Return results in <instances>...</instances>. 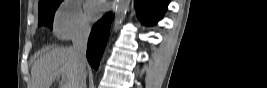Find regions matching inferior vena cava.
Segmentation results:
<instances>
[{
	"label": "inferior vena cava",
	"mask_w": 267,
	"mask_h": 88,
	"mask_svg": "<svg viewBox=\"0 0 267 88\" xmlns=\"http://www.w3.org/2000/svg\"><path fill=\"white\" fill-rule=\"evenodd\" d=\"M90 30L89 24H84L73 37L72 51L77 66V79L74 88H86V50Z\"/></svg>",
	"instance_id": "obj_1"
}]
</instances>
